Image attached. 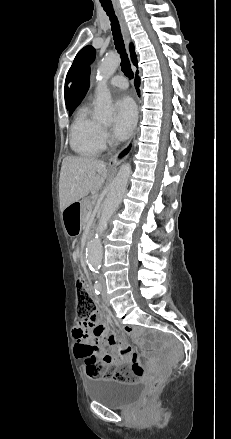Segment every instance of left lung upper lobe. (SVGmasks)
<instances>
[{
    "label": "left lung upper lobe",
    "instance_id": "left-lung-upper-lobe-1",
    "mask_svg": "<svg viewBox=\"0 0 231 439\" xmlns=\"http://www.w3.org/2000/svg\"><path fill=\"white\" fill-rule=\"evenodd\" d=\"M95 49L92 46H86L83 49H81L78 54L76 55L72 66L70 67L67 76H66V81H65V89H64V94H65V102L68 108V104L70 102V97H71V90L77 80V78L79 77L81 71L84 69V67L89 64L92 63L94 58H95ZM69 83L71 84V87H67V85Z\"/></svg>",
    "mask_w": 231,
    "mask_h": 439
}]
</instances>
